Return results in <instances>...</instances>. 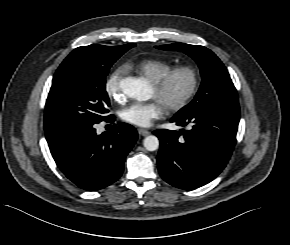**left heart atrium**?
I'll return each mask as SVG.
<instances>
[{
  "label": "left heart atrium",
  "mask_w": 290,
  "mask_h": 245,
  "mask_svg": "<svg viewBox=\"0 0 290 245\" xmlns=\"http://www.w3.org/2000/svg\"><path fill=\"white\" fill-rule=\"evenodd\" d=\"M165 112L163 103L155 98L149 102L134 103L121 112L124 121L140 126L148 127L153 121L160 119Z\"/></svg>",
  "instance_id": "left-heart-atrium-1"
}]
</instances>
